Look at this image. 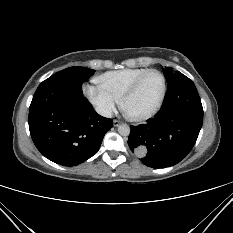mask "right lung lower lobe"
<instances>
[{
    "label": "right lung lower lobe",
    "mask_w": 233,
    "mask_h": 233,
    "mask_svg": "<svg viewBox=\"0 0 233 233\" xmlns=\"http://www.w3.org/2000/svg\"><path fill=\"white\" fill-rule=\"evenodd\" d=\"M82 84L48 78L29 108V129L40 153L64 166L83 163L100 148L113 121L95 112L83 97Z\"/></svg>",
    "instance_id": "1"
}]
</instances>
